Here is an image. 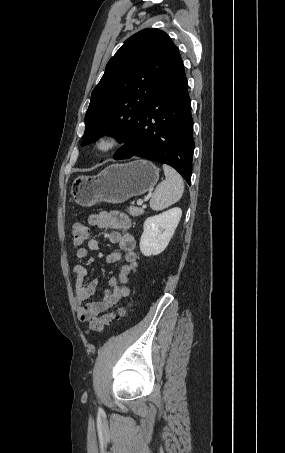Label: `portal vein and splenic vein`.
<instances>
[{
	"label": "portal vein and splenic vein",
	"instance_id": "portal-vein-and-splenic-vein-1",
	"mask_svg": "<svg viewBox=\"0 0 285 453\" xmlns=\"http://www.w3.org/2000/svg\"><path fill=\"white\" fill-rule=\"evenodd\" d=\"M142 204H143V200L139 199V200L137 201V205L141 206Z\"/></svg>",
	"mask_w": 285,
	"mask_h": 453
}]
</instances>
